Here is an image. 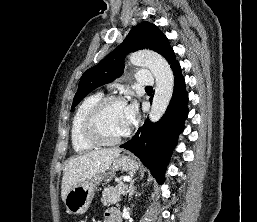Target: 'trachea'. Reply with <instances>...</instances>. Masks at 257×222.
Returning a JSON list of instances; mask_svg holds the SVG:
<instances>
[{
	"instance_id": "obj_1",
	"label": "trachea",
	"mask_w": 257,
	"mask_h": 222,
	"mask_svg": "<svg viewBox=\"0 0 257 222\" xmlns=\"http://www.w3.org/2000/svg\"><path fill=\"white\" fill-rule=\"evenodd\" d=\"M146 88H148V89H152V87H151V86H146Z\"/></svg>"
}]
</instances>
